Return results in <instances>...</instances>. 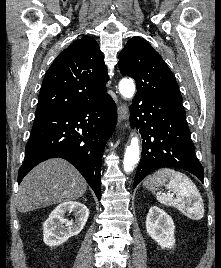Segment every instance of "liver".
Returning <instances> with one entry per match:
<instances>
[{
	"instance_id": "liver-1",
	"label": "liver",
	"mask_w": 221,
	"mask_h": 268,
	"mask_svg": "<svg viewBox=\"0 0 221 268\" xmlns=\"http://www.w3.org/2000/svg\"><path fill=\"white\" fill-rule=\"evenodd\" d=\"M87 186L83 176L70 163L50 159L24 177L17 194V209L25 213L73 201L84 195Z\"/></svg>"
}]
</instances>
